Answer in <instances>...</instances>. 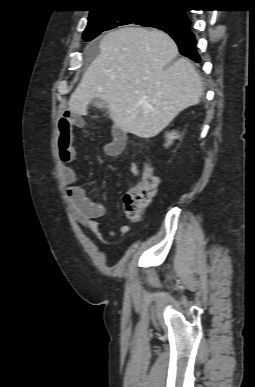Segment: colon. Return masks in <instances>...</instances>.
<instances>
[{
    "label": "colon",
    "mask_w": 255,
    "mask_h": 387,
    "mask_svg": "<svg viewBox=\"0 0 255 387\" xmlns=\"http://www.w3.org/2000/svg\"><path fill=\"white\" fill-rule=\"evenodd\" d=\"M158 187V177L153 166L146 163L140 180L128 191L124 198L126 216L138 222L144 210L152 202Z\"/></svg>",
    "instance_id": "5ec220e1"
}]
</instances>
